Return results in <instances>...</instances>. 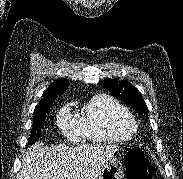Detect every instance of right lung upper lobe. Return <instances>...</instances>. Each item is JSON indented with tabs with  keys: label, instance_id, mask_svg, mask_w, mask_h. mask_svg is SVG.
<instances>
[{
	"label": "right lung upper lobe",
	"instance_id": "cb5924a9",
	"mask_svg": "<svg viewBox=\"0 0 183 179\" xmlns=\"http://www.w3.org/2000/svg\"><path fill=\"white\" fill-rule=\"evenodd\" d=\"M69 80L66 78H59L54 81L48 88L46 92L43 94V98L41 99L38 106H43L46 104L52 103V100L57 96L62 95L66 89L68 88Z\"/></svg>",
	"mask_w": 183,
	"mask_h": 179
}]
</instances>
